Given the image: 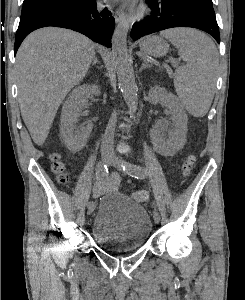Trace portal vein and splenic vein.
<instances>
[{"label":"portal vein and splenic vein","instance_id":"portal-vein-and-splenic-vein-1","mask_svg":"<svg viewBox=\"0 0 245 300\" xmlns=\"http://www.w3.org/2000/svg\"><path fill=\"white\" fill-rule=\"evenodd\" d=\"M171 62L173 63V65H176V64H177V61L174 60V59H171Z\"/></svg>","mask_w":245,"mask_h":300}]
</instances>
